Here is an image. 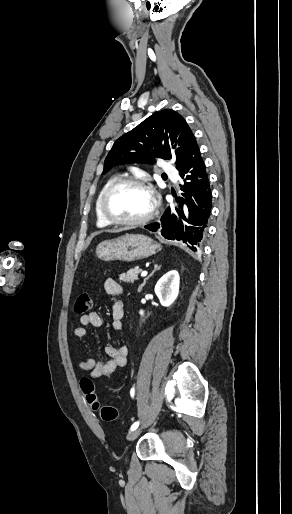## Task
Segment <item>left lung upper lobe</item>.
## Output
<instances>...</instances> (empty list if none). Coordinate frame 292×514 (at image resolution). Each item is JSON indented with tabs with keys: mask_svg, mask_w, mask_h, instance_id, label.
I'll return each mask as SVG.
<instances>
[{
	"mask_svg": "<svg viewBox=\"0 0 292 514\" xmlns=\"http://www.w3.org/2000/svg\"><path fill=\"white\" fill-rule=\"evenodd\" d=\"M195 140L185 119L176 111H159L115 141L104 161L102 174L128 163H153L155 158L174 160L177 170L183 165Z\"/></svg>",
	"mask_w": 292,
	"mask_h": 514,
	"instance_id": "left-lung-upper-lobe-1",
	"label": "left lung upper lobe"
}]
</instances>
